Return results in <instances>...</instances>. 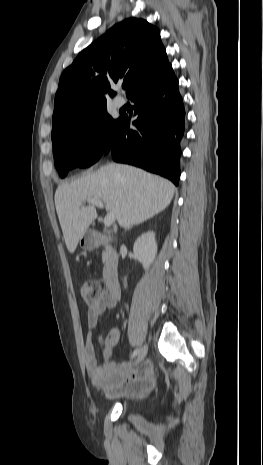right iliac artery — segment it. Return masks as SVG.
<instances>
[{
    "label": "right iliac artery",
    "instance_id": "82829eb1",
    "mask_svg": "<svg viewBox=\"0 0 263 465\" xmlns=\"http://www.w3.org/2000/svg\"><path fill=\"white\" fill-rule=\"evenodd\" d=\"M138 353H139V349L134 350V352H133L132 355H131V359H133L134 357H136Z\"/></svg>",
    "mask_w": 263,
    "mask_h": 465
}]
</instances>
